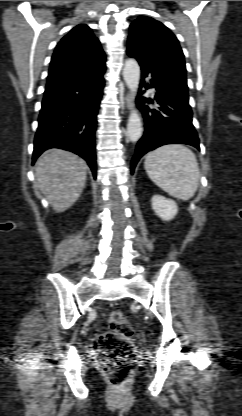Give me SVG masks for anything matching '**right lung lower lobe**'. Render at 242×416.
<instances>
[{"instance_id":"right-lung-lower-lobe-1","label":"right lung lower lobe","mask_w":242,"mask_h":416,"mask_svg":"<svg viewBox=\"0 0 242 416\" xmlns=\"http://www.w3.org/2000/svg\"><path fill=\"white\" fill-rule=\"evenodd\" d=\"M104 72L45 89L33 163L43 151L61 148L84 158L96 178L94 134L105 85Z\"/></svg>"}]
</instances>
